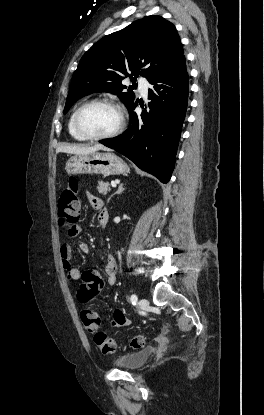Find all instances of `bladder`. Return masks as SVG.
Instances as JSON below:
<instances>
[{
    "mask_svg": "<svg viewBox=\"0 0 264 415\" xmlns=\"http://www.w3.org/2000/svg\"><path fill=\"white\" fill-rule=\"evenodd\" d=\"M154 353V346L140 348L136 352L125 354L114 360V364L124 370H137L142 367Z\"/></svg>",
    "mask_w": 264,
    "mask_h": 415,
    "instance_id": "obj_1",
    "label": "bladder"
}]
</instances>
